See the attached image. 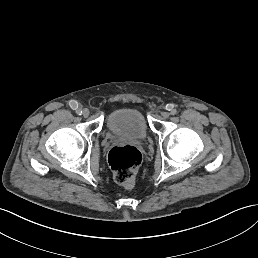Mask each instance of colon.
Masks as SVG:
<instances>
[{"label": "colon", "instance_id": "colon-1", "mask_svg": "<svg viewBox=\"0 0 258 258\" xmlns=\"http://www.w3.org/2000/svg\"><path fill=\"white\" fill-rule=\"evenodd\" d=\"M141 160V153L135 146H114L108 154L114 180L122 185L132 184Z\"/></svg>", "mask_w": 258, "mask_h": 258}]
</instances>
